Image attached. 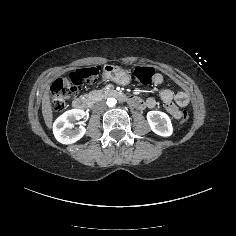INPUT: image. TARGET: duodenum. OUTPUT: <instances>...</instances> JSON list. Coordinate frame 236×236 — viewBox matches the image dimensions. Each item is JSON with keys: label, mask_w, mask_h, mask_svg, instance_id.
<instances>
[{"label": "duodenum", "mask_w": 236, "mask_h": 236, "mask_svg": "<svg viewBox=\"0 0 236 236\" xmlns=\"http://www.w3.org/2000/svg\"><path fill=\"white\" fill-rule=\"evenodd\" d=\"M105 95L108 97H116L119 100L124 101L138 109L143 108L145 106V103L142 100L135 97L127 96L124 93L116 91L114 89L107 90L105 92ZM72 106L76 110H85L88 107V102L83 97H77L73 100Z\"/></svg>", "instance_id": "duodenum-1"}]
</instances>
